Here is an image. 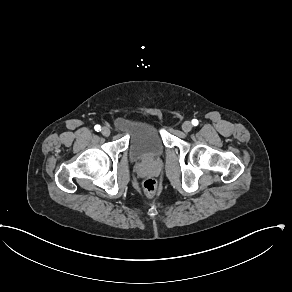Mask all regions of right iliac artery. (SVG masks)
<instances>
[{"instance_id":"1","label":"right iliac artery","mask_w":292,"mask_h":292,"mask_svg":"<svg viewBox=\"0 0 292 292\" xmlns=\"http://www.w3.org/2000/svg\"><path fill=\"white\" fill-rule=\"evenodd\" d=\"M94 129H95L96 131H100V130H101V126H100V125H95Z\"/></svg>"}]
</instances>
